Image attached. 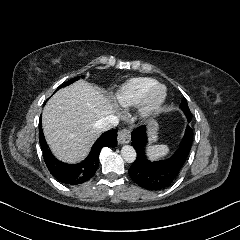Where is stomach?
<instances>
[{
	"mask_svg": "<svg viewBox=\"0 0 240 240\" xmlns=\"http://www.w3.org/2000/svg\"><path fill=\"white\" fill-rule=\"evenodd\" d=\"M148 139L149 142H156L158 139V123L155 121H151L148 124Z\"/></svg>",
	"mask_w": 240,
	"mask_h": 240,
	"instance_id": "1",
	"label": "stomach"
}]
</instances>
